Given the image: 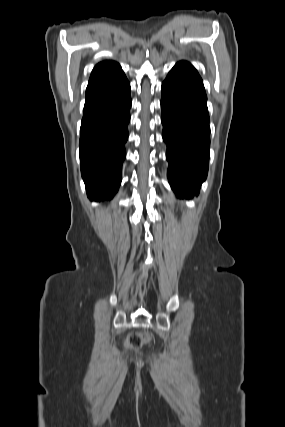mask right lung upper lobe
I'll return each instance as SVG.
<instances>
[{"instance_id":"1","label":"right lung upper lobe","mask_w":285,"mask_h":427,"mask_svg":"<svg viewBox=\"0 0 285 427\" xmlns=\"http://www.w3.org/2000/svg\"><path fill=\"white\" fill-rule=\"evenodd\" d=\"M118 67H120L119 64L114 61H102L94 67L90 76V80L107 75Z\"/></svg>"}]
</instances>
